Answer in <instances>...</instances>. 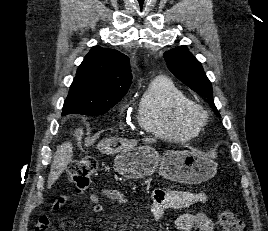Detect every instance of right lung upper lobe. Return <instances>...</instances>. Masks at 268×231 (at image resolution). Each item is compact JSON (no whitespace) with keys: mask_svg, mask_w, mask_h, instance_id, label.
Wrapping results in <instances>:
<instances>
[{"mask_svg":"<svg viewBox=\"0 0 268 231\" xmlns=\"http://www.w3.org/2000/svg\"><path fill=\"white\" fill-rule=\"evenodd\" d=\"M132 82L129 58L114 49L91 48L70 87L65 103L96 105L120 100Z\"/></svg>","mask_w":268,"mask_h":231,"instance_id":"cb5924a9","label":"right lung upper lobe"}]
</instances>
